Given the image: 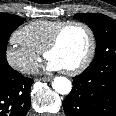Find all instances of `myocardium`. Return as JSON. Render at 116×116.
Segmentation results:
<instances>
[{
  "label": "myocardium",
  "mask_w": 116,
  "mask_h": 116,
  "mask_svg": "<svg viewBox=\"0 0 116 116\" xmlns=\"http://www.w3.org/2000/svg\"><path fill=\"white\" fill-rule=\"evenodd\" d=\"M71 26L82 27L88 33V36H89V48H88V52H87L84 60L80 64H78L76 67L64 70V72L68 75H77V74L83 72L91 64V62L95 56V52H96V37H95L94 31L85 22L66 21L61 26H59L57 28V30L54 32L50 42L48 43V45L44 49V56H45V58H47L48 53L53 51L58 46L62 34L64 33V31L67 28H69Z\"/></svg>",
  "instance_id": "myocardium-1"
}]
</instances>
